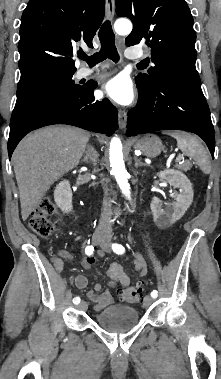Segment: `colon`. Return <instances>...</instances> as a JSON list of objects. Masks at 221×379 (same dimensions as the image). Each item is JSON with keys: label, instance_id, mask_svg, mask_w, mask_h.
Returning a JSON list of instances; mask_svg holds the SVG:
<instances>
[{"label": "colon", "instance_id": "obj_1", "mask_svg": "<svg viewBox=\"0 0 221 379\" xmlns=\"http://www.w3.org/2000/svg\"><path fill=\"white\" fill-rule=\"evenodd\" d=\"M55 214H57V208L51 201H41L30 215V228L41 237L49 236L53 231L51 217ZM121 295L124 300L130 303H138L143 300V291L139 286L127 288Z\"/></svg>", "mask_w": 221, "mask_h": 379}]
</instances>
